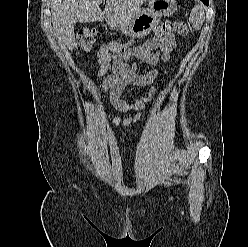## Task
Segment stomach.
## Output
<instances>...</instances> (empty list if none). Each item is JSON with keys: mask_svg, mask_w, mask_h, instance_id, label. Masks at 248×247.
Here are the masks:
<instances>
[{"mask_svg": "<svg viewBox=\"0 0 248 247\" xmlns=\"http://www.w3.org/2000/svg\"><path fill=\"white\" fill-rule=\"evenodd\" d=\"M176 9V0H148L146 9H141L127 23L115 28L132 38L144 37L160 23L162 17L172 15Z\"/></svg>", "mask_w": 248, "mask_h": 247, "instance_id": "0dacf381", "label": "stomach"}]
</instances>
